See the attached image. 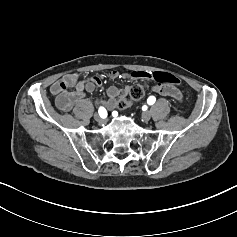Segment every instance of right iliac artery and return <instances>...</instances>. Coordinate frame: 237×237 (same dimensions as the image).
Returning <instances> with one entry per match:
<instances>
[{
  "instance_id": "1",
  "label": "right iliac artery",
  "mask_w": 237,
  "mask_h": 237,
  "mask_svg": "<svg viewBox=\"0 0 237 237\" xmlns=\"http://www.w3.org/2000/svg\"><path fill=\"white\" fill-rule=\"evenodd\" d=\"M98 113L100 117L106 118L107 117V111L104 107H99Z\"/></svg>"
}]
</instances>
